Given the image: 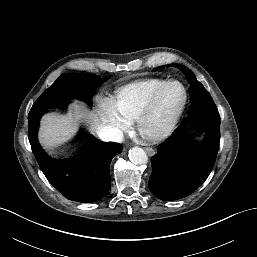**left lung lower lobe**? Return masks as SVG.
<instances>
[{"label": "left lung lower lobe", "mask_w": 257, "mask_h": 257, "mask_svg": "<svg viewBox=\"0 0 257 257\" xmlns=\"http://www.w3.org/2000/svg\"><path fill=\"white\" fill-rule=\"evenodd\" d=\"M201 142H192L175 131L158 147L152 158L150 191L159 199L184 198L199 188L209 176L220 141V123H205Z\"/></svg>", "instance_id": "0a47b994"}]
</instances>
